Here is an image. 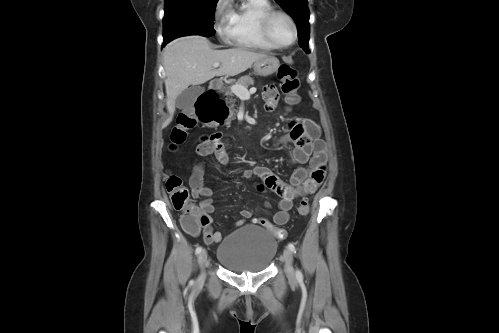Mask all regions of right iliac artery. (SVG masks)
I'll return each instance as SVG.
<instances>
[{
	"mask_svg": "<svg viewBox=\"0 0 499 333\" xmlns=\"http://www.w3.org/2000/svg\"><path fill=\"white\" fill-rule=\"evenodd\" d=\"M202 251V247L198 246L195 250L196 254H199Z\"/></svg>",
	"mask_w": 499,
	"mask_h": 333,
	"instance_id": "right-iliac-artery-1",
	"label": "right iliac artery"
}]
</instances>
